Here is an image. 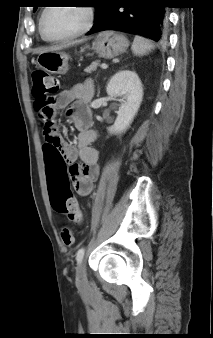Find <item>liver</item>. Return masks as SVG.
I'll use <instances>...</instances> for the list:
<instances>
[{"instance_id": "obj_1", "label": "liver", "mask_w": 213, "mask_h": 338, "mask_svg": "<svg viewBox=\"0 0 213 338\" xmlns=\"http://www.w3.org/2000/svg\"><path fill=\"white\" fill-rule=\"evenodd\" d=\"M67 46H69V44H68V45H62V46H53V47H49V48H46V49H44L43 51H41V53H42V52H49V51H58V50H61V49H63L64 47H67Z\"/></svg>"}]
</instances>
